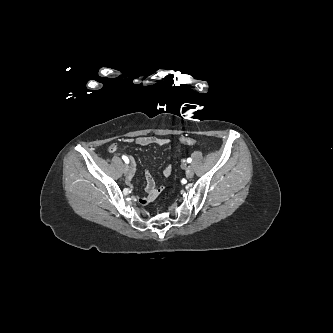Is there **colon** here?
Segmentation results:
<instances>
[{
	"label": "colon",
	"mask_w": 333,
	"mask_h": 333,
	"mask_svg": "<svg viewBox=\"0 0 333 333\" xmlns=\"http://www.w3.org/2000/svg\"><path fill=\"white\" fill-rule=\"evenodd\" d=\"M181 143L185 145H195L198 143L196 139L190 138V137H183L181 139Z\"/></svg>",
	"instance_id": "1"
}]
</instances>
